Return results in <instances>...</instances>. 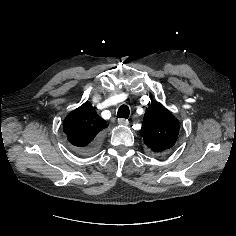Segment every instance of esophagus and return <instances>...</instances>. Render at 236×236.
Segmentation results:
<instances>
[{
  "label": "esophagus",
  "instance_id": "34e87169",
  "mask_svg": "<svg viewBox=\"0 0 236 236\" xmlns=\"http://www.w3.org/2000/svg\"><path fill=\"white\" fill-rule=\"evenodd\" d=\"M129 121L127 119H124V118H119L118 119V124L119 125H122V126H126L128 125Z\"/></svg>",
  "mask_w": 236,
  "mask_h": 236
}]
</instances>
